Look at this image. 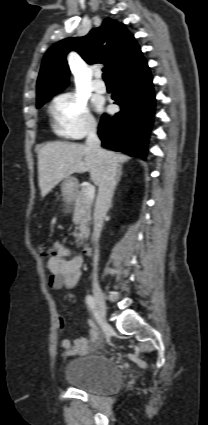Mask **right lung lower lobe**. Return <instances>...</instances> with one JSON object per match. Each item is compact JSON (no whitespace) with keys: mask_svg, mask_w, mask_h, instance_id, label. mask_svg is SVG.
Masks as SVG:
<instances>
[{"mask_svg":"<svg viewBox=\"0 0 208 425\" xmlns=\"http://www.w3.org/2000/svg\"><path fill=\"white\" fill-rule=\"evenodd\" d=\"M112 99L121 108L113 117L104 114L99 125L102 147L145 158L155 98L152 76L144 58L113 79Z\"/></svg>","mask_w":208,"mask_h":425,"instance_id":"right-lung-lower-lobe-1","label":"right lung lower lobe"}]
</instances>
